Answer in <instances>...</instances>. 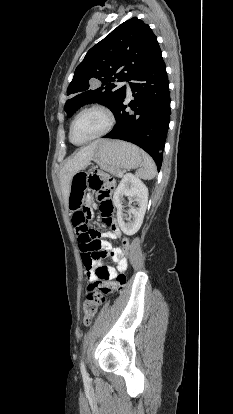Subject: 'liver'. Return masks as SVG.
Here are the masks:
<instances>
[{
  "label": "liver",
  "instance_id": "liver-1",
  "mask_svg": "<svg viewBox=\"0 0 233 414\" xmlns=\"http://www.w3.org/2000/svg\"><path fill=\"white\" fill-rule=\"evenodd\" d=\"M96 147L97 142L82 147L75 155L66 161L64 167L61 169L59 178L66 206L68 205L70 185L73 176L90 163Z\"/></svg>",
  "mask_w": 233,
  "mask_h": 414
}]
</instances>
